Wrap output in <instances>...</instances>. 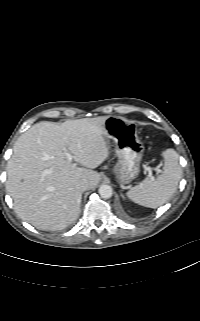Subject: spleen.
Listing matches in <instances>:
<instances>
[{
    "label": "spleen",
    "mask_w": 200,
    "mask_h": 321,
    "mask_svg": "<svg viewBox=\"0 0 200 321\" xmlns=\"http://www.w3.org/2000/svg\"><path fill=\"white\" fill-rule=\"evenodd\" d=\"M163 172L156 179L145 178L127 192V197L144 207L158 208L166 203L175 193L182 176L179 155L168 148L163 151Z\"/></svg>",
    "instance_id": "spleen-1"
}]
</instances>
